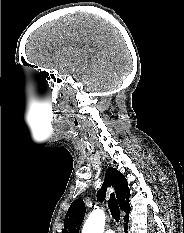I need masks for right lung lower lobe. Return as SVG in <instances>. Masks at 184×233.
Wrapping results in <instances>:
<instances>
[{
	"label": "right lung lower lobe",
	"instance_id": "right-lung-lower-lobe-1",
	"mask_svg": "<svg viewBox=\"0 0 184 233\" xmlns=\"http://www.w3.org/2000/svg\"><path fill=\"white\" fill-rule=\"evenodd\" d=\"M126 221V223L124 224V229H125V232L127 231V223H128V218L124 219Z\"/></svg>",
	"mask_w": 184,
	"mask_h": 233
}]
</instances>
